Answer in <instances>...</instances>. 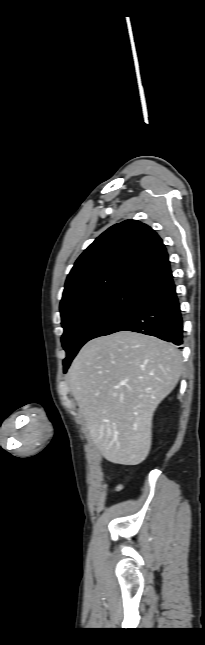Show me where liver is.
Instances as JSON below:
<instances>
[{
	"mask_svg": "<svg viewBox=\"0 0 205 645\" xmlns=\"http://www.w3.org/2000/svg\"><path fill=\"white\" fill-rule=\"evenodd\" d=\"M181 373V352L153 336L121 331L81 348L69 369L70 387L104 458L122 465L146 459L154 412Z\"/></svg>",
	"mask_w": 205,
	"mask_h": 645,
	"instance_id": "1",
	"label": "liver"
}]
</instances>
